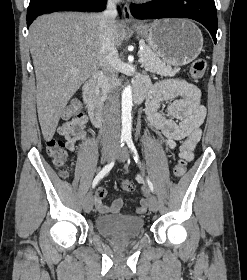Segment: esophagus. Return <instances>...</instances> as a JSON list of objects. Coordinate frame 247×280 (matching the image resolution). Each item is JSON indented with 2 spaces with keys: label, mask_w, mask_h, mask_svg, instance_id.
<instances>
[{
  "label": "esophagus",
  "mask_w": 247,
  "mask_h": 280,
  "mask_svg": "<svg viewBox=\"0 0 247 280\" xmlns=\"http://www.w3.org/2000/svg\"><path fill=\"white\" fill-rule=\"evenodd\" d=\"M123 15H124V20H125L126 23H132V24H136L137 23V20L131 14L129 4H125L124 5V7H123Z\"/></svg>",
  "instance_id": "1"
}]
</instances>
